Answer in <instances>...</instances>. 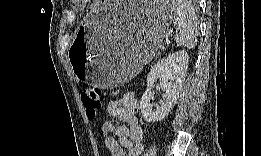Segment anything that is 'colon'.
Wrapping results in <instances>:
<instances>
[{
  "instance_id": "obj_1",
  "label": "colon",
  "mask_w": 261,
  "mask_h": 156,
  "mask_svg": "<svg viewBox=\"0 0 261 156\" xmlns=\"http://www.w3.org/2000/svg\"><path fill=\"white\" fill-rule=\"evenodd\" d=\"M81 98L88 118L94 119L103 107L101 93L97 89L87 88L82 91Z\"/></svg>"
}]
</instances>
